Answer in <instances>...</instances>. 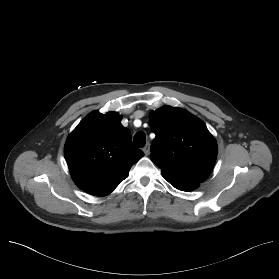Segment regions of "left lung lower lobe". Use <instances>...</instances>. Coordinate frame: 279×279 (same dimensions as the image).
<instances>
[{
  "label": "left lung lower lobe",
  "instance_id": "left-lung-lower-lobe-1",
  "mask_svg": "<svg viewBox=\"0 0 279 279\" xmlns=\"http://www.w3.org/2000/svg\"><path fill=\"white\" fill-rule=\"evenodd\" d=\"M162 176L175 188L182 191H191L199 186V183L189 180L179 179L167 174H162Z\"/></svg>",
  "mask_w": 279,
  "mask_h": 279
}]
</instances>
